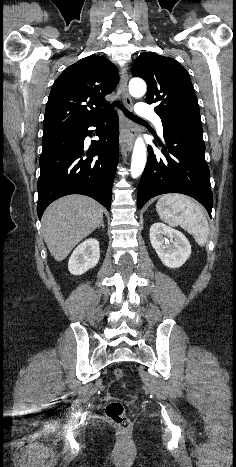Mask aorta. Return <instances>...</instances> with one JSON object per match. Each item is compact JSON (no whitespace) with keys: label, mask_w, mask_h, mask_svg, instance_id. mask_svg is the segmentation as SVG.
Instances as JSON below:
<instances>
[{"label":"aorta","mask_w":236,"mask_h":467,"mask_svg":"<svg viewBox=\"0 0 236 467\" xmlns=\"http://www.w3.org/2000/svg\"><path fill=\"white\" fill-rule=\"evenodd\" d=\"M147 90V86L144 80L140 78L131 79L129 82V92L134 97H142ZM147 161V149L145 143L141 137H138L135 141L132 160H131V176L132 178H138L146 165Z\"/></svg>","instance_id":"obj_1"}]
</instances>
